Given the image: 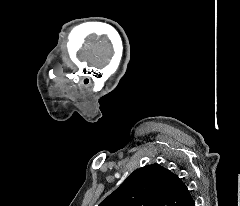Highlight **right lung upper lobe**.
<instances>
[{"label": "right lung upper lobe", "mask_w": 240, "mask_h": 206, "mask_svg": "<svg viewBox=\"0 0 240 206\" xmlns=\"http://www.w3.org/2000/svg\"><path fill=\"white\" fill-rule=\"evenodd\" d=\"M190 201L181 179L153 164L135 170L99 206H186Z\"/></svg>", "instance_id": "1"}]
</instances>
